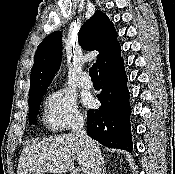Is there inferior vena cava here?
Listing matches in <instances>:
<instances>
[{"label":"inferior vena cava","mask_w":175,"mask_h":174,"mask_svg":"<svg viewBox=\"0 0 175 174\" xmlns=\"http://www.w3.org/2000/svg\"><path fill=\"white\" fill-rule=\"evenodd\" d=\"M73 134L85 145L90 155L91 167L87 174H101L102 157L96 143L88 137L84 129V120L78 119L73 128Z\"/></svg>","instance_id":"obj_1"}]
</instances>
